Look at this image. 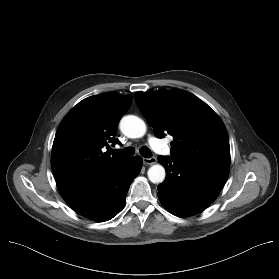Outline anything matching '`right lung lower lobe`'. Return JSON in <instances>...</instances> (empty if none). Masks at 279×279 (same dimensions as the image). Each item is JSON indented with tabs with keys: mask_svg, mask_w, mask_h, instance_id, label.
Listing matches in <instances>:
<instances>
[{
	"mask_svg": "<svg viewBox=\"0 0 279 279\" xmlns=\"http://www.w3.org/2000/svg\"><path fill=\"white\" fill-rule=\"evenodd\" d=\"M142 158H127L113 170L86 182L60 189L67 204L78 214L104 222L119 213L131 182L139 174Z\"/></svg>",
	"mask_w": 279,
	"mask_h": 279,
	"instance_id": "obj_1",
	"label": "right lung lower lobe"
}]
</instances>
